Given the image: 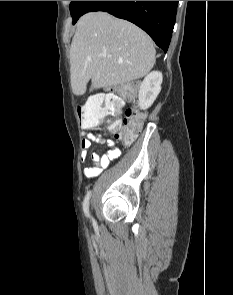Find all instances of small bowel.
Segmentation results:
<instances>
[{"mask_svg": "<svg viewBox=\"0 0 233 295\" xmlns=\"http://www.w3.org/2000/svg\"><path fill=\"white\" fill-rule=\"evenodd\" d=\"M104 143L105 140L100 133L94 132L92 130L85 131V138L81 143V158L86 160L88 157V151L92 146V143ZM110 149L108 152L102 156H99L97 153L93 152L90 155L91 164L84 169V175L87 178H92L101 173L103 169L108 167L111 161L117 159L121 151L119 148L114 146L111 142H108Z\"/></svg>", "mask_w": 233, "mask_h": 295, "instance_id": "small-bowel-1", "label": "small bowel"}]
</instances>
